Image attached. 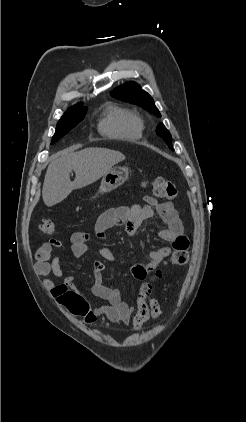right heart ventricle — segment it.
Instances as JSON below:
<instances>
[{
	"mask_svg": "<svg viewBox=\"0 0 246 422\" xmlns=\"http://www.w3.org/2000/svg\"><path fill=\"white\" fill-rule=\"evenodd\" d=\"M99 130L109 137L137 140L143 135L144 123L136 111L109 103L99 121Z\"/></svg>",
	"mask_w": 246,
	"mask_h": 422,
	"instance_id": "e07e8e85",
	"label": "right heart ventricle"
}]
</instances>
